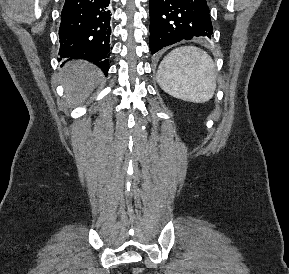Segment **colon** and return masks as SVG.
I'll return each mask as SVG.
<instances>
[{
  "label": "colon",
  "instance_id": "obj_1",
  "mask_svg": "<svg viewBox=\"0 0 289 274\" xmlns=\"http://www.w3.org/2000/svg\"><path fill=\"white\" fill-rule=\"evenodd\" d=\"M141 273V269L140 268H135L133 270V274H140Z\"/></svg>",
  "mask_w": 289,
  "mask_h": 274
}]
</instances>
